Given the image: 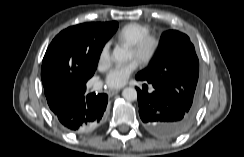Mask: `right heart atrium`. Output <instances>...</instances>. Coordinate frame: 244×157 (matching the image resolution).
<instances>
[{
    "instance_id": "right-heart-atrium-1",
    "label": "right heart atrium",
    "mask_w": 244,
    "mask_h": 157,
    "mask_svg": "<svg viewBox=\"0 0 244 157\" xmlns=\"http://www.w3.org/2000/svg\"><path fill=\"white\" fill-rule=\"evenodd\" d=\"M111 63L110 42H106L100 49L97 59V67L99 70H105Z\"/></svg>"
}]
</instances>
